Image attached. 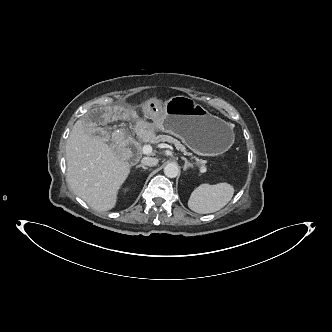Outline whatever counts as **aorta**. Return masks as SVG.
Returning <instances> with one entry per match:
<instances>
[{
    "mask_svg": "<svg viewBox=\"0 0 332 332\" xmlns=\"http://www.w3.org/2000/svg\"><path fill=\"white\" fill-rule=\"evenodd\" d=\"M164 174L168 177V178H175L178 174H179V168L176 164L174 163H168L165 167H164Z\"/></svg>",
    "mask_w": 332,
    "mask_h": 332,
    "instance_id": "aorta-1",
    "label": "aorta"
}]
</instances>
